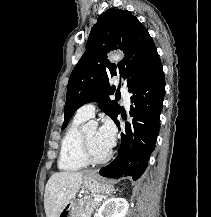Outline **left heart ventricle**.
Wrapping results in <instances>:
<instances>
[{
  "instance_id": "left-heart-ventricle-1",
  "label": "left heart ventricle",
  "mask_w": 211,
  "mask_h": 217,
  "mask_svg": "<svg viewBox=\"0 0 211 217\" xmlns=\"http://www.w3.org/2000/svg\"><path fill=\"white\" fill-rule=\"evenodd\" d=\"M98 130L96 128H89L85 131L90 150L96 157L104 156L110 149L105 147L99 140Z\"/></svg>"
}]
</instances>
